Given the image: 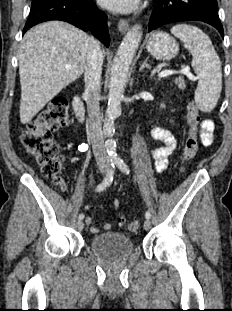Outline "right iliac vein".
I'll list each match as a JSON object with an SVG mask.
<instances>
[{
	"instance_id": "1",
	"label": "right iliac vein",
	"mask_w": 232,
	"mask_h": 311,
	"mask_svg": "<svg viewBox=\"0 0 232 311\" xmlns=\"http://www.w3.org/2000/svg\"><path fill=\"white\" fill-rule=\"evenodd\" d=\"M101 172H102V173H106V172H107V169L103 168V169H101ZM83 227H84V223H83L81 220H79L78 223H77V228H78L79 230H82Z\"/></svg>"
}]
</instances>
